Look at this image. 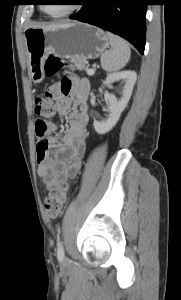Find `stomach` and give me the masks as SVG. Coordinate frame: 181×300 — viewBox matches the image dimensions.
Listing matches in <instances>:
<instances>
[{"mask_svg": "<svg viewBox=\"0 0 181 300\" xmlns=\"http://www.w3.org/2000/svg\"><path fill=\"white\" fill-rule=\"evenodd\" d=\"M29 69L33 81L44 78V62L49 54L86 62L97 58L108 47L106 33L93 25L70 22L53 28L32 27L24 32Z\"/></svg>", "mask_w": 181, "mask_h": 300, "instance_id": "0dacf381", "label": "stomach"}]
</instances>
